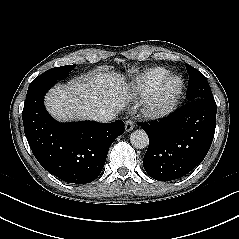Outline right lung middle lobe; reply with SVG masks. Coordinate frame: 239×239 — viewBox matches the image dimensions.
<instances>
[{
    "mask_svg": "<svg viewBox=\"0 0 239 239\" xmlns=\"http://www.w3.org/2000/svg\"><path fill=\"white\" fill-rule=\"evenodd\" d=\"M75 68V65H66L61 67H55L45 71L38 76L30 85L28 90L34 89L39 86L53 85L58 80L69 76V72Z\"/></svg>",
    "mask_w": 239,
    "mask_h": 239,
    "instance_id": "dd1d6c3e",
    "label": "right lung middle lobe"
}]
</instances>
